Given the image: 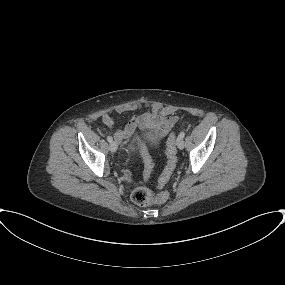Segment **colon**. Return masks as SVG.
Instances as JSON below:
<instances>
[{
    "mask_svg": "<svg viewBox=\"0 0 285 285\" xmlns=\"http://www.w3.org/2000/svg\"><path fill=\"white\" fill-rule=\"evenodd\" d=\"M174 145H175V135H171L167 141V148H166L168 163L160 177L159 186H164L173 174L176 164ZM144 161H145V176H149L153 169V160L146 151H144ZM131 198L134 203L142 206L151 203L161 205L166 202L167 195L163 192L153 193L148 187L140 186L132 192Z\"/></svg>",
    "mask_w": 285,
    "mask_h": 285,
    "instance_id": "5ec220e1",
    "label": "colon"
}]
</instances>
